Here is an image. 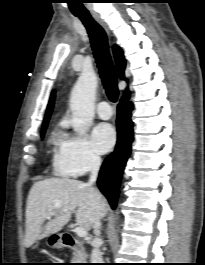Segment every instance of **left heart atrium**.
I'll use <instances>...</instances> for the list:
<instances>
[{
  "mask_svg": "<svg viewBox=\"0 0 205 265\" xmlns=\"http://www.w3.org/2000/svg\"><path fill=\"white\" fill-rule=\"evenodd\" d=\"M92 140L96 151L106 153L116 142L115 130L108 123H100L93 130Z\"/></svg>",
  "mask_w": 205,
  "mask_h": 265,
  "instance_id": "left-heart-atrium-1",
  "label": "left heart atrium"
}]
</instances>
